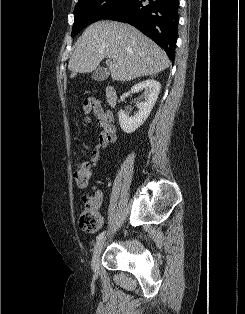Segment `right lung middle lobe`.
Returning <instances> with one entry per match:
<instances>
[{"label":"right lung middle lobe","mask_w":245,"mask_h":314,"mask_svg":"<svg viewBox=\"0 0 245 314\" xmlns=\"http://www.w3.org/2000/svg\"><path fill=\"white\" fill-rule=\"evenodd\" d=\"M129 0H78L74 9L72 36H75L87 25L96 22Z\"/></svg>","instance_id":"dd1d6c3e"}]
</instances>
